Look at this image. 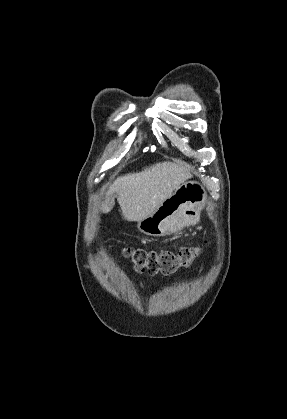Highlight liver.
I'll return each mask as SVG.
<instances>
[{
  "instance_id": "obj_1",
  "label": "liver",
  "mask_w": 287,
  "mask_h": 419,
  "mask_svg": "<svg viewBox=\"0 0 287 419\" xmlns=\"http://www.w3.org/2000/svg\"><path fill=\"white\" fill-rule=\"evenodd\" d=\"M191 177L183 163L159 162L117 178L106 193L101 205L104 213L114 206V196L127 221H139L155 212L162 202Z\"/></svg>"
}]
</instances>
